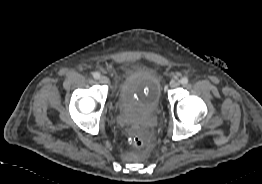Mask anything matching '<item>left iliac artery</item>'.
I'll list each match as a JSON object with an SVG mask.
<instances>
[{"instance_id": "1", "label": "left iliac artery", "mask_w": 262, "mask_h": 184, "mask_svg": "<svg viewBox=\"0 0 262 184\" xmlns=\"http://www.w3.org/2000/svg\"><path fill=\"white\" fill-rule=\"evenodd\" d=\"M188 78L187 77H183L181 80H180V83L182 84V85H186L187 83H188Z\"/></svg>"}]
</instances>
